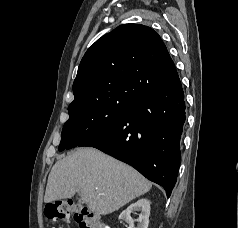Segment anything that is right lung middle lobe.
<instances>
[{"instance_id":"right-lung-middle-lobe-1","label":"right lung middle lobe","mask_w":238,"mask_h":228,"mask_svg":"<svg viewBox=\"0 0 238 228\" xmlns=\"http://www.w3.org/2000/svg\"><path fill=\"white\" fill-rule=\"evenodd\" d=\"M128 104L93 105L69 113L62 129L59 151L79 146L116 122Z\"/></svg>"}]
</instances>
